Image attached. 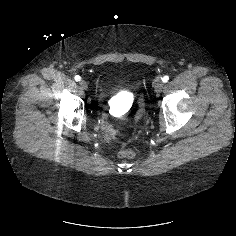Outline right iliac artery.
I'll return each instance as SVG.
<instances>
[{
  "mask_svg": "<svg viewBox=\"0 0 236 236\" xmlns=\"http://www.w3.org/2000/svg\"><path fill=\"white\" fill-rule=\"evenodd\" d=\"M75 80H76V81H80V80H81V77H80L79 75H76V76H75Z\"/></svg>",
  "mask_w": 236,
  "mask_h": 236,
  "instance_id": "obj_1",
  "label": "right iliac artery"
}]
</instances>
